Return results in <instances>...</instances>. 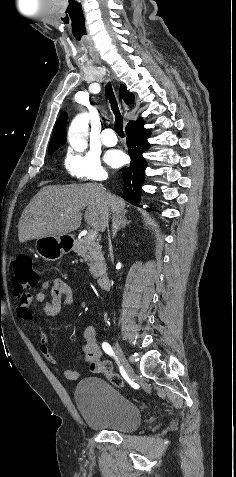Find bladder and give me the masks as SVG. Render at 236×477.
<instances>
[{"mask_svg":"<svg viewBox=\"0 0 236 477\" xmlns=\"http://www.w3.org/2000/svg\"><path fill=\"white\" fill-rule=\"evenodd\" d=\"M75 402L85 423L93 428L130 433L141 426L139 406L103 378L82 379L76 386Z\"/></svg>","mask_w":236,"mask_h":477,"instance_id":"31cf9c89","label":"bladder"}]
</instances>
